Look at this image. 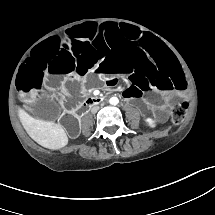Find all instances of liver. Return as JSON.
Instances as JSON below:
<instances>
[{"mask_svg": "<svg viewBox=\"0 0 215 215\" xmlns=\"http://www.w3.org/2000/svg\"><path fill=\"white\" fill-rule=\"evenodd\" d=\"M19 117L27 133L40 145L56 149L67 144V135L60 124L35 119L22 110Z\"/></svg>", "mask_w": 215, "mask_h": 215, "instance_id": "6515ba94", "label": "liver"}]
</instances>
